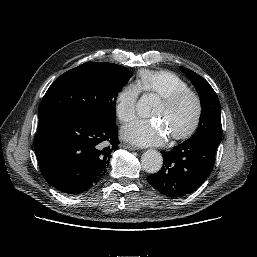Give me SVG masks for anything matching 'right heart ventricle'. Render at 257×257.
I'll list each match as a JSON object with an SVG mask.
<instances>
[{
    "mask_svg": "<svg viewBox=\"0 0 257 257\" xmlns=\"http://www.w3.org/2000/svg\"><path fill=\"white\" fill-rule=\"evenodd\" d=\"M137 84L145 92L159 97L189 89L188 84L181 77L167 70H143L138 74Z\"/></svg>",
    "mask_w": 257,
    "mask_h": 257,
    "instance_id": "right-heart-ventricle-1",
    "label": "right heart ventricle"
}]
</instances>
